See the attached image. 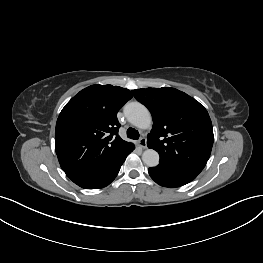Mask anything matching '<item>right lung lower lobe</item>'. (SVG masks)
Wrapping results in <instances>:
<instances>
[{"label": "right lung lower lobe", "mask_w": 263, "mask_h": 263, "mask_svg": "<svg viewBox=\"0 0 263 263\" xmlns=\"http://www.w3.org/2000/svg\"><path fill=\"white\" fill-rule=\"evenodd\" d=\"M134 150V146L131 147L122 156L115 159L102 169L95 172L80 175L71 180L78 186L84 189H98L109 185L117 176L121 165L124 163L126 157Z\"/></svg>", "instance_id": "obj_1"}]
</instances>
